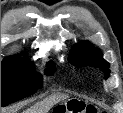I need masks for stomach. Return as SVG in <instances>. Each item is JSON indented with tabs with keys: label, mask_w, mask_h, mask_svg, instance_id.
<instances>
[{
	"label": "stomach",
	"mask_w": 123,
	"mask_h": 113,
	"mask_svg": "<svg viewBox=\"0 0 123 113\" xmlns=\"http://www.w3.org/2000/svg\"><path fill=\"white\" fill-rule=\"evenodd\" d=\"M83 104L85 103L78 99H71L56 105L54 107V112L73 113L76 110H85L86 105L83 107Z\"/></svg>",
	"instance_id": "1"
}]
</instances>
